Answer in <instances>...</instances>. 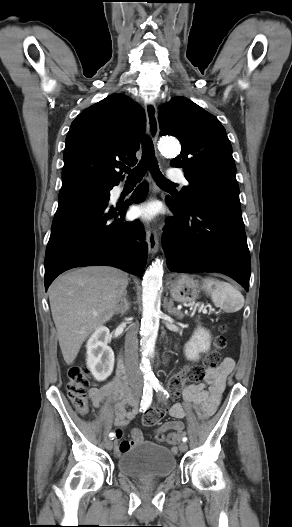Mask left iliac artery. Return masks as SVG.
I'll list each match as a JSON object with an SVG mask.
<instances>
[{
    "instance_id": "obj_1",
    "label": "left iliac artery",
    "mask_w": 292,
    "mask_h": 527,
    "mask_svg": "<svg viewBox=\"0 0 292 527\" xmlns=\"http://www.w3.org/2000/svg\"><path fill=\"white\" fill-rule=\"evenodd\" d=\"M152 385H153V388L155 389L156 392H164V393H167L163 386L161 385V383L158 381V380H155L154 382H152ZM183 442H186L187 441V437H183Z\"/></svg>"
}]
</instances>
